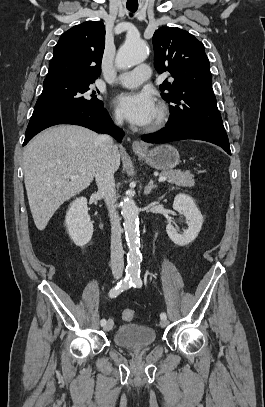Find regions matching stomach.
I'll return each mask as SVG.
<instances>
[{
    "mask_svg": "<svg viewBox=\"0 0 265 407\" xmlns=\"http://www.w3.org/2000/svg\"><path fill=\"white\" fill-rule=\"evenodd\" d=\"M136 154L150 167L163 172L172 170L180 162L179 152L168 144L159 145L149 151H136Z\"/></svg>",
    "mask_w": 265,
    "mask_h": 407,
    "instance_id": "1",
    "label": "stomach"
}]
</instances>
